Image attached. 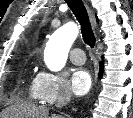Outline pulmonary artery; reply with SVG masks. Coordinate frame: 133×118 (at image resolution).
<instances>
[{"label": "pulmonary artery", "mask_w": 133, "mask_h": 118, "mask_svg": "<svg viewBox=\"0 0 133 118\" xmlns=\"http://www.w3.org/2000/svg\"><path fill=\"white\" fill-rule=\"evenodd\" d=\"M70 60L74 64L80 65L85 62V54L82 48H74L70 52Z\"/></svg>", "instance_id": "obj_1"}]
</instances>
